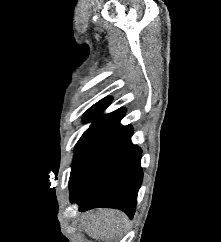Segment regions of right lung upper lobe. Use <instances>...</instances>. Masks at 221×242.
<instances>
[{
    "instance_id": "cb5924a9",
    "label": "right lung upper lobe",
    "mask_w": 221,
    "mask_h": 242,
    "mask_svg": "<svg viewBox=\"0 0 221 242\" xmlns=\"http://www.w3.org/2000/svg\"><path fill=\"white\" fill-rule=\"evenodd\" d=\"M111 102V98H104L94 104L91 108L87 110L84 115L85 122H93V126L103 127L116 118L124 114V109H118L112 113L101 115V113L108 107Z\"/></svg>"
}]
</instances>
